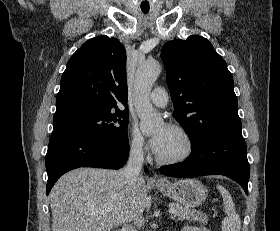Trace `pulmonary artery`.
<instances>
[{
	"mask_svg": "<svg viewBox=\"0 0 280 231\" xmlns=\"http://www.w3.org/2000/svg\"><path fill=\"white\" fill-rule=\"evenodd\" d=\"M150 100L158 107H165L169 101L168 93L164 88L157 87L150 94Z\"/></svg>",
	"mask_w": 280,
	"mask_h": 231,
	"instance_id": "e3ab8cb5",
	"label": "pulmonary artery"
}]
</instances>
